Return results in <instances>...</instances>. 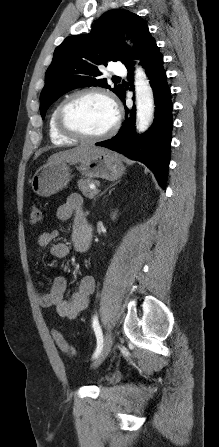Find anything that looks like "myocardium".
<instances>
[{
	"mask_svg": "<svg viewBox=\"0 0 219 447\" xmlns=\"http://www.w3.org/2000/svg\"><path fill=\"white\" fill-rule=\"evenodd\" d=\"M86 95H97V96L104 98L105 100H107L110 103V105L112 106V108L114 110L115 117H114V121H113L112 125L105 132H103L101 134H97V135L86 134L78 129H75L74 127L69 125V123L67 122L66 114H67V111L70 108V106L77 99H79L83 96H86ZM55 120H56V127H57L58 131L60 133H62L63 135H65L69 138L80 140V141L95 142V141L107 139V138L111 137L117 131V129L120 125L121 114H120V110L118 108L117 103L115 102V100L112 98V96L109 93H107L106 91L99 89V88H85V89H81L79 91L72 93L71 95H69L66 99H64L61 102V104L59 105V107L57 109Z\"/></svg>",
	"mask_w": 219,
	"mask_h": 447,
	"instance_id": "obj_1",
	"label": "myocardium"
}]
</instances>
